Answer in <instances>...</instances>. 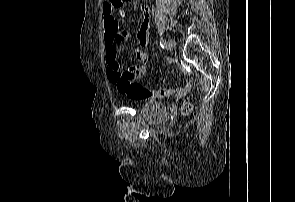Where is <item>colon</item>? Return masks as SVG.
Instances as JSON below:
<instances>
[{
	"label": "colon",
	"mask_w": 295,
	"mask_h": 202,
	"mask_svg": "<svg viewBox=\"0 0 295 202\" xmlns=\"http://www.w3.org/2000/svg\"><path fill=\"white\" fill-rule=\"evenodd\" d=\"M116 6L121 4V0H111ZM118 80L116 82L119 92L125 94L133 100H142L147 98H165L171 96L175 90L173 88H163L158 90H150L134 81L131 71L123 68L117 71ZM192 109L190 103L183 105V111L189 112Z\"/></svg>",
	"instance_id": "colon-1"
}]
</instances>
